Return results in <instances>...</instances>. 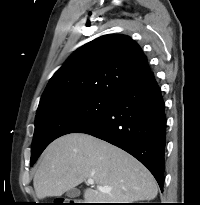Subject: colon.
I'll return each mask as SVG.
<instances>
[{
	"mask_svg": "<svg viewBox=\"0 0 200 205\" xmlns=\"http://www.w3.org/2000/svg\"><path fill=\"white\" fill-rule=\"evenodd\" d=\"M53 205H81V203L75 199H61Z\"/></svg>",
	"mask_w": 200,
	"mask_h": 205,
	"instance_id": "obj_1",
	"label": "colon"
}]
</instances>
